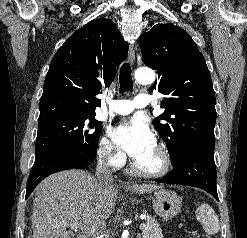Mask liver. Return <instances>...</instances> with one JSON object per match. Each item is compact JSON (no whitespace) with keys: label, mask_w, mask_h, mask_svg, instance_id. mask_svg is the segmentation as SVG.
Wrapping results in <instances>:
<instances>
[{"label":"liver","mask_w":247,"mask_h":238,"mask_svg":"<svg viewBox=\"0 0 247 238\" xmlns=\"http://www.w3.org/2000/svg\"><path fill=\"white\" fill-rule=\"evenodd\" d=\"M126 191L150 193L161 186L126 185ZM118 195L112 181L101 182L83 170H66L44 179L36 188L32 238H71L67 228L82 223L77 238H96L106 227ZM73 229V228H71Z\"/></svg>","instance_id":"6515ba94"}]
</instances>
